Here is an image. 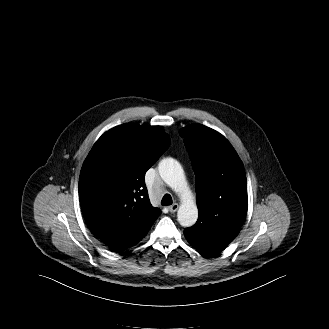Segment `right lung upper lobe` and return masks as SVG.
Segmentation results:
<instances>
[{
  "mask_svg": "<svg viewBox=\"0 0 329 329\" xmlns=\"http://www.w3.org/2000/svg\"><path fill=\"white\" fill-rule=\"evenodd\" d=\"M169 145L161 127L125 123L92 147L81 169L79 198L87 225L106 245L137 239L160 215L144 176Z\"/></svg>",
  "mask_w": 329,
  "mask_h": 329,
  "instance_id": "cb5924a9",
  "label": "right lung upper lobe"
}]
</instances>
